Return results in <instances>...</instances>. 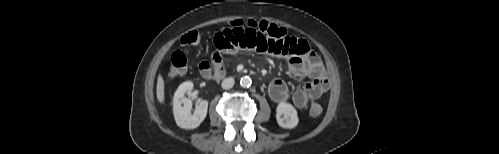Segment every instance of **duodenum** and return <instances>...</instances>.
Segmentation results:
<instances>
[{"label": "duodenum", "instance_id": "410a0bca", "mask_svg": "<svg viewBox=\"0 0 499 154\" xmlns=\"http://www.w3.org/2000/svg\"><path fill=\"white\" fill-rule=\"evenodd\" d=\"M224 77H225L224 72H213L212 73V79H221Z\"/></svg>", "mask_w": 499, "mask_h": 154}]
</instances>
